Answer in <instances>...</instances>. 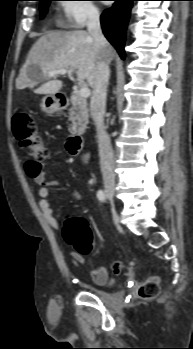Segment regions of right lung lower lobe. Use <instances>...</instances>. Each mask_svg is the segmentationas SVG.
<instances>
[{"instance_id":"obj_1","label":"right lung lower lobe","mask_w":193,"mask_h":349,"mask_svg":"<svg viewBox=\"0 0 193 349\" xmlns=\"http://www.w3.org/2000/svg\"><path fill=\"white\" fill-rule=\"evenodd\" d=\"M113 6L101 15L103 33L124 58L125 30L130 16L132 2L135 0H114Z\"/></svg>"}]
</instances>
